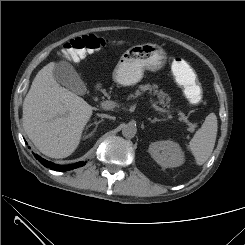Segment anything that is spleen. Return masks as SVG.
<instances>
[{"instance_id": "obj_1", "label": "spleen", "mask_w": 245, "mask_h": 245, "mask_svg": "<svg viewBox=\"0 0 245 245\" xmlns=\"http://www.w3.org/2000/svg\"><path fill=\"white\" fill-rule=\"evenodd\" d=\"M217 124L216 115L210 113L189 142L188 148L199 166L203 165L213 152L217 136Z\"/></svg>"}]
</instances>
